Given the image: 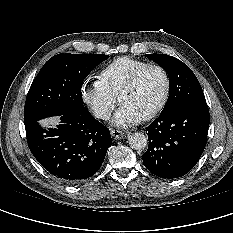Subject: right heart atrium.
Wrapping results in <instances>:
<instances>
[{"label": "right heart atrium", "instance_id": "d8ad5b80", "mask_svg": "<svg viewBox=\"0 0 233 233\" xmlns=\"http://www.w3.org/2000/svg\"><path fill=\"white\" fill-rule=\"evenodd\" d=\"M80 94L83 102L99 119H107L116 105L114 96L99 78L83 82Z\"/></svg>", "mask_w": 233, "mask_h": 233}]
</instances>
